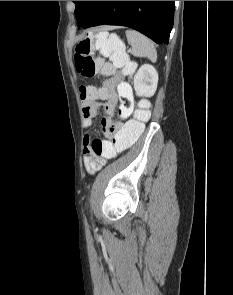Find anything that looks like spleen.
<instances>
[{"label":"spleen","instance_id":"1","mask_svg":"<svg viewBox=\"0 0 233 295\" xmlns=\"http://www.w3.org/2000/svg\"><path fill=\"white\" fill-rule=\"evenodd\" d=\"M126 37L132 46L131 53L134 56L147 57L153 62L156 61L157 52L149 38L136 30H126ZM96 45L100 48L101 54L109 56L115 66L122 64L125 57V46L116 34L108 36L107 33H100L97 36Z\"/></svg>","mask_w":233,"mask_h":295}]
</instances>
